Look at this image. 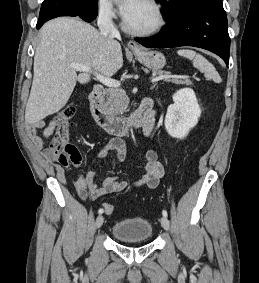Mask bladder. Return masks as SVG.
Here are the masks:
<instances>
[{"mask_svg": "<svg viewBox=\"0 0 259 283\" xmlns=\"http://www.w3.org/2000/svg\"><path fill=\"white\" fill-rule=\"evenodd\" d=\"M152 225L143 218H126L117 221L111 234L115 239L122 241L149 240L152 236Z\"/></svg>", "mask_w": 259, "mask_h": 283, "instance_id": "bladder-1", "label": "bladder"}]
</instances>
